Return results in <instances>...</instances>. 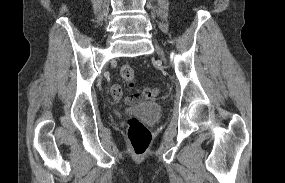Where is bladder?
I'll use <instances>...</instances> for the list:
<instances>
[{"instance_id": "1", "label": "bladder", "mask_w": 285, "mask_h": 183, "mask_svg": "<svg viewBox=\"0 0 285 183\" xmlns=\"http://www.w3.org/2000/svg\"><path fill=\"white\" fill-rule=\"evenodd\" d=\"M127 112L149 123H153L161 116L162 108L155 103L146 102L129 108Z\"/></svg>"}]
</instances>
